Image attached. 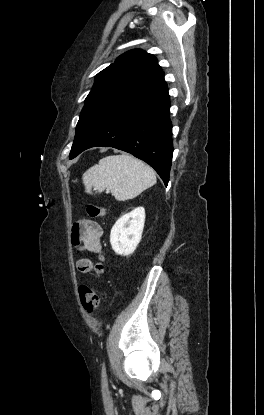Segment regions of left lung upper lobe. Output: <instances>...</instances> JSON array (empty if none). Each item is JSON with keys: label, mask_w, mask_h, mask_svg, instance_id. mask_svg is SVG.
<instances>
[{"label": "left lung upper lobe", "mask_w": 264, "mask_h": 415, "mask_svg": "<svg viewBox=\"0 0 264 415\" xmlns=\"http://www.w3.org/2000/svg\"><path fill=\"white\" fill-rule=\"evenodd\" d=\"M163 79L164 72L158 65L156 57L140 49L120 55L113 64L99 72L92 90L85 99L76 126L70 159H73L83 141L106 111L123 99Z\"/></svg>", "instance_id": "obj_1"}]
</instances>
